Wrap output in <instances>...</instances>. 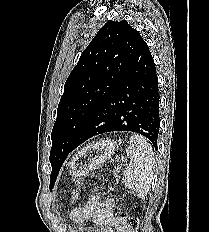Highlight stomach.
Segmentation results:
<instances>
[{
    "label": "stomach",
    "instance_id": "0dacf381",
    "mask_svg": "<svg viewBox=\"0 0 209 232\" xmlns=\"http://www.w3.org/2000/svg\"><path fill=\"white\" fill-rule=\"evenodd\" d=\"M117 144L111 139L90 143L79 150L69 163L74 177H86L90 171L102 167L114 154Z\"/></svg>",
    "mask_w": 209,
    "mask_h": 232
}]
</instances>
